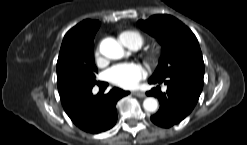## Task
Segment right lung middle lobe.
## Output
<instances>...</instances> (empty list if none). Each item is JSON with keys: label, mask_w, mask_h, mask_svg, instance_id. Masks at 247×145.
I'll list each match as a JSON object with an SVG mask.
<instances>
[{"label": "right lung middle lobe", "mask_w": 247, "mask_h": 145, "mask_svg": "<svg viewBox=\"0 0 247 145\" xmlns=\"http://www.w3.org/2000/svg\"><path fill=\"white\" fill-rule=\"evenodd\" d=\"M98 70L94 63L93 47L75 42L61 45L57 61V83L60 95L81 86L97 83Z\"/></svg>", "instance_id": "right-lung-middle-lobe-1"}]
</instances>
